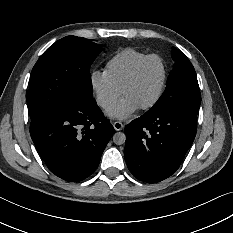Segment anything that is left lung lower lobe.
<instances>
[{
	"mask_svg": "<svg viewBox=\"0 0 233 233\" xmlns=\"http://www.w3.org/2000/svg\"><path fill=\"white\" fill-rule=\"evenodd\" d=\"M197 113L143 114L125 127L124 155L130 172L148 183L160 182L180 166L196 135Z\"/></svg>",
	"mask_w": 233,
	"mask_h": 233,
	"instance_id": "1",
	"label": "left lung lower lobe"
}]
</instances>
